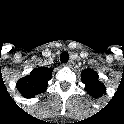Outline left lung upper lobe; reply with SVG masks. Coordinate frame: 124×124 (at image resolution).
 I'll list each match as a JSON object with an SVG mask.
<instances>
[{
    "label": "left lung upper lobe",
    "mask_w": 124,
    "mask_h": 124,
    "mask_svg": "<svg viewBox=\"0 0 124 124\" xmlns=\"http://www.w3.org/2000/svg\"><path fill=\"white\" fill-rule=\"evenodd\" d=\"M98 79V74L92 69H85L81 73V81L85 84V90L94 98L101 96L105 91L104 85Z\"/></svg>",
    "instance_id": "obj_1"
}]
</instances>
